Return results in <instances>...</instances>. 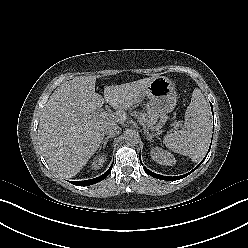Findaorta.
I'll return each instance as SVG.
<instances>
[{"label": "aorta", "instance_id": "obj_1", "mask_svg": "<svg viewBox=\"0 0 248 248\" xmlns=\"http://www.w3.org/2000/svg\"><path fill=\"white\" fill-rule=\"evenodd\" d=\"M140 136L135 131H130L125 135V142L128 145H136L139 143Z\"/></svg>", "mask_w": 248, "mask_h": 248}]
</instances>
